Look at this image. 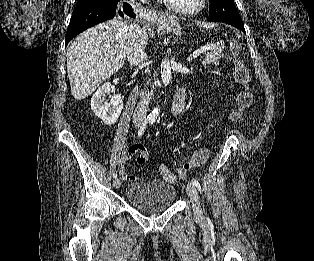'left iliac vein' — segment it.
<instances>
[{
  "label": "left iliac vein",
  "mask_w": 314,
  "mask_h": 261,
  "mask_svg": "<svg viewBox=\"0 0 314 261\" xmlns=\"http://www.w3.org/2000/svg\"><path fill=\"white\" fill-rule=\"evenodd\" d=\"M186 192H187L190 200L192 201L193 211H194L196 218H202L203 214H202L201 205L199 202L197 190H196L195 186L193 185V183L189 182L187 184Z\"/></svg>",
  "instance_id": "obj_1"
}]
</instances>
